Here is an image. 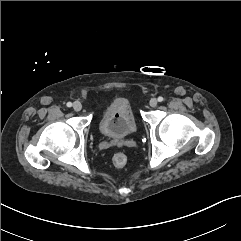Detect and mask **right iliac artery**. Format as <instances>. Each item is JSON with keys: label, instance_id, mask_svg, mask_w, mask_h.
I'll list each match as a JSON object with an SVG mask.
<instances>
[{"label": "right iliac artery", "instance_id": "right-iliac-artery-1", "mask_svg": "<svg viewBox=\"0 0 241 241\" xmlns=\"http://www.w3.org/2000/svg\"><path fill=\"white\" fill-rule=\"evenodd\" d=\"M67 107H71L72 106V103L71 102H67Z\"/></svg>", "mask_w": 241, "mask_h": 241}]
</instances>
